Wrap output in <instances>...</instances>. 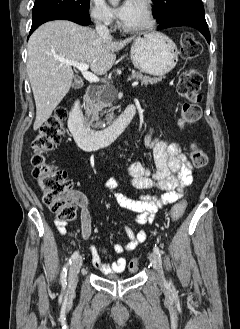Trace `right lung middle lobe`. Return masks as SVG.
<instances>
[{
	"instance_id": "right-lung-middle-lobe-1",
	"label": "right lung middle lobe",
	"mask_w": 240,
	"mask_h": 329,
	"mask_svg": "<svg viewBox=\"0 0 240 329\" xmlns=\"http://www.w3.org/2000/svg\"><path fill=\"white\" fill-rule=\"evenodd\" d=\"M90 0H35L32 13L58 11L89 17Z\"/></svg>"
}]
</instances>
